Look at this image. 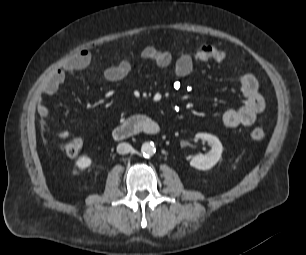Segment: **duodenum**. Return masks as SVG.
I'll return each instance as SVG.
<instances>
[{
	"mask_svg": "<svg viewBox=\"0 0 306 255\" xmlns=\"http://www.w3.org/2000/svg\"><path fill=\"white\" fill-rule=\"evenodd\" d=\"M159 132L160 125L157 121L146 115H136L114 127L112 137L122 141L139 134L157 135Z\"/></svg>",
	"mask_w": 306,
	"mask_h": 255,
	"instance_id": "1",
	"label": "duodenum"
}]
</instances>
